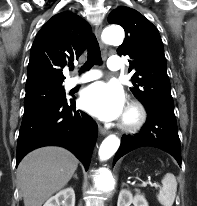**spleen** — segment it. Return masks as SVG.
Returning <instances> with one entry per match:
<instances>
[{
  "instance_id": "1",
  "label": "spleen",
  "mask_w": 197,
  "mask_h": 206,
  "mask_svg": "<svg viewBox=\"0 0 197 206\" xmlns=\"http://www.w3.org/2000/svg\"><path fill=\"white\" fill-rule=\"evenodd\" d=\"M177 181L172 173H167L162 179V187L157 194L159 203L163 206H172L176 197Z\"/></svg>"
}]
</instances>
